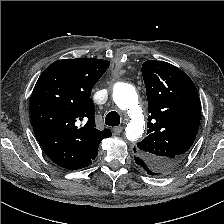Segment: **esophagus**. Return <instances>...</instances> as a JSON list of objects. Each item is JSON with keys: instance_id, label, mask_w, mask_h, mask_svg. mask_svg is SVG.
<instances>
[{"instance_id": "1", "label": "esophagus", "mask_w": 224, "mask_h": 224, "mask_svg": "<svg viewBox=\"0 0 224 224\" xmlns=\"http://www.w3.org/2000/svg\"><path fill=\"white\" fill-rule=\"evenodd\" d=\"M123 131V127L119 126V127H115L113 129L114 134L119 135L121 132Z\"/></svg>"}]
</instances>
